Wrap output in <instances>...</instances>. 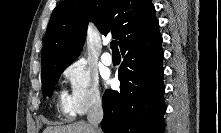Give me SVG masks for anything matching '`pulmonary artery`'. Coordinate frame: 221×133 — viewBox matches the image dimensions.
<instances>
[{
	"label": "pulmonary artery",
	"instance_id": "pulmonary-artery-1",
	"mask_svg": "<svg viewBox=\"0 0 221 133\" xmlns=\"http://www.w3.org/2000/svg\"><path fill=\"white\" fill-rule=\"evenodd\" d=\"M104 45H108V41H105ZM101 60L105 65H108V66L113 63V57L111 53L109 52H104L101 56Z\"/></svg>",
	"mask_w": 221,
	"mask_h": 133
}]
</instances>
